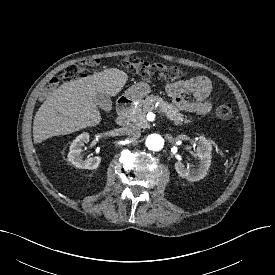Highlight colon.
I'll return each mask as SVG.
<instances>
[{
    "instance_id": "5ec220e1",
    "label": "colon",
    "mask_w": 275,
    "mask_h": 275,
    "mask_svg": "<svg viewBox=\"0 0 275 275\" xmlns=\"http://www.w3.org/2000/svg\"><path fill=\"white\" fill-rule=\"evenodd\" d=\"M98 63V60H90L86 62V64L89 66H94ZM122 64L127 70L134 74L150 77L153 79L174 81L182 78L185 75L184 71L177 66L165 65L162 63H152L134 56L126 57ZM86 74L87 71L85 67L72 65L67 67L63 73L57 79H55V82H69L81 79L85 77ZM214 113L219 119L229 120L233 116V108L229 103H222L216 106Z\"/></svg>"
}]
</instances>
